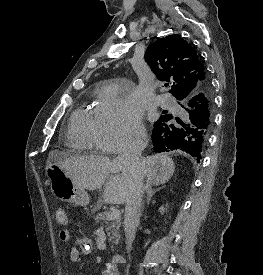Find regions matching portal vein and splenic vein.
Instances as JSON below:
<instances>
[{"mask_svg": "<svg viewBox=\"0 0 263 275\" xmlns=\"http://www.w3.org/2000/svg\"><path fill=\"white\" fill-rule=\"evenodd\" d=\"M120 218V211L118 209L111 210L107 215V220L112 221Z\"/></svg>", "mask_w": 263, "mask_h": 275, "instance_id": "18ae733b", "label": "portal vein and splenic vein"}]
</instances>
